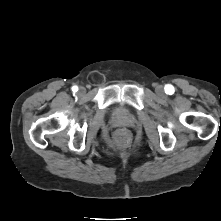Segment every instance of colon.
Masks as SVG:
<instances>
[{"mask_svg": "<svg viewBox=\"0 0 221 221\" xmlns=\"http://www.w3.org/2000/svg\"><path fill=\"white\" fill-rule=\"evenodd\" d=\"M131 135L126 129H119L113 136V143L117 147H125L130 143Z\"/></svg>", "mask_w": 221, "mask_h": 221, "instance_id": "obj_1", "label": "colon"}]
</instances>
